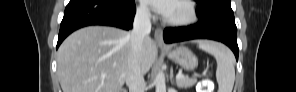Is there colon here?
<instances>
[{
    "instance_id": "obj_1",
    "label": "colon",
    "mask_w": 296,
    "mask_h": 92,
    "mask_svg": "<svg viewBox=\"0 0 296 92\" xmlns=\"http://www.w3.org/2000/svg\"><path fill=\"white\" fill-rule=\"evenodd\" d=\"M209 81L208 80H203L201 83H200V91L201 92H207L208 91V88H209Z\"/></svg>"
}]
</instances>
